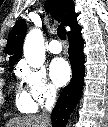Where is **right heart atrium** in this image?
I'll list each match as a JSON object with an SVG mask.
<instances>
[{"label": "right heart atrium", "mask_w": 108, "mask_h": 127, "mask_svg": "<svg viewBox=\"0 0 108 127\" xmlns=\"http://www.w3.org/2000/svg\"><path fill=\"white\" fill-rule=\"evenodd\" d=\"M19 76L36 105L41 106L56 98V87L49 81L44 69L22 64L19 67Z\"/></svg>", "instance_id": "right-heart-atrium-1"}]
</instances>
